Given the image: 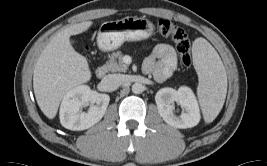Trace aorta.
I'll return each mask as SVG.
<instances>
[{"label": "aorta", "mask_w": 267, "mask_h": 166, "mask_svg": "<svg viewBox=\"0 0 267 166\" xmlns=\"http://www.w3.org/2000/svg\"><path fill=\"white\" fill-rule=\"evenodd\" d=\"M143 90H144V87H143V85L140 84V83H134V84L132 85V92H133L134 94H140V93L143 92Z\"/></svg>", "instance_id": "obj_1"}]
</instances>
